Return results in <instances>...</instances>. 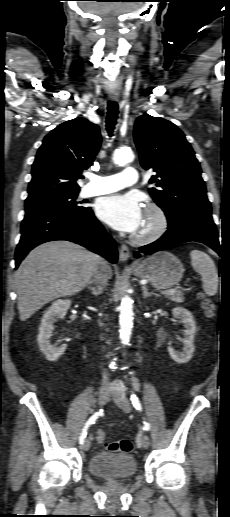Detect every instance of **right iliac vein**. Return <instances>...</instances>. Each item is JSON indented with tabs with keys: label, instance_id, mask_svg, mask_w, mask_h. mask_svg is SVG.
<instances>
[{
	"label": "right iliac vein",
	"instance_id": "right-iliac-vein-1",
	"mask_svg": "<svg viewBox=\"0 0 230 517\" xmlns=\"http://www.w3.org/2000/svg\"><path fill=\"white\" fill-rule=\"evenodd\" d=\"M110 394H111V391L108 387L101 388V390L99 392V398H98L99 407H103L107 403V401L110 397ZM89 448H90V441L87 439L82 444V449L84 451H88Z\"/></svg>",
	"mask_w": 230,
	"mask_h": 517
}]
</instances>
